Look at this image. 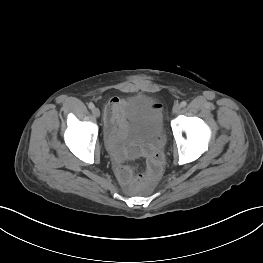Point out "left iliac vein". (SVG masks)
<instances>
[{
  "label": "left iliac vein",
  "mask_w": 263,
  "mask_h": 263,
  "mask_svg": "<svg viewBox=\"0 0 263 263\" xmlns=\"http://www.w3.org/2000/svg\"><path fill=\"white\" fill-rule=\"evenodd\" d=\"M181 111V105L176 104L173 107V113L178 114Z\"/></svg>",
  "instance_id": "obj_1"
}]
</instances>
